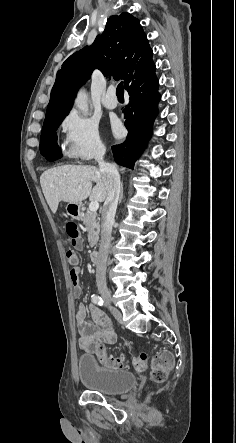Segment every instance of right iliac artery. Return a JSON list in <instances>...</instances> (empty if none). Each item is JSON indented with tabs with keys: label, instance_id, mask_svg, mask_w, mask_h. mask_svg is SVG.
<instances>
[{
	"label": "right iliac artery",
	"instance_id": "right-iliac-artery-1",
	"mask_svg": "<svg viewBox=\"0 0 236 443\" xmlns=\"http://www.w3.org/2000/svg\"><path fill=\"white\" fill-rule=\"evenodd\" d=\"M91 300L93 303L100 305V306H102L104 303L103 299L98 295H92Z\"/></svg>",
	"mask_w": 236,
	"mask_h": 443
}]
</instances>
